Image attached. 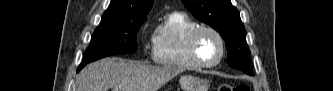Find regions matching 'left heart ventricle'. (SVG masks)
<instances>
[{"label": "left heart ventricle", "mask_w": 333, "mask_h": 91, "mask_svg": "<svg viewBox=\"0 0 333 91\" xmlns=\"http://www.w3.org/2000/svg\"><path fill=\"white\" fill-rule=\"evenodd\" d=\"M197 50L201 60L211 63L219 57L220 44L212 33L203 32L198 39Z\"/></svg>", "instance_id": "obj_1"}]
</instances>
